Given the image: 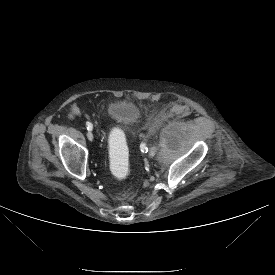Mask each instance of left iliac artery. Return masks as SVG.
<instances>
[{
    "mask_svg": "<svg viewBox=\"0 0 275 275\" xmlns=\"http://www.w3.org/2000/svg\"><path fill=\"white\" fill-rule=\"evenodd\" d=\"M145 150H146V147H142V152H144ZM147 151H148V149H147Z\"/></svg>",
    "mask_w": 275,
    "mask_h": 275,
    "instance_id": "obj_1",
    "label": "left iliac artery"
}]
</instances>
